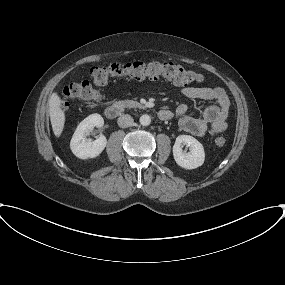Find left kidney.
I'll return each instance as SVG.
<instances>
[{
	"label": "left kidney",
	"instance_id": "left-kidney-1",
	"mask_svg": "<svg viewBox=\"0 0 285 285\" xmlns=\"http://www.w3.org/2000/svg\"><path fill=\"white\" fill-rule=\"evenodd\" d=\"M183 145L188 146L190 152H184L182 150ZM173 156L180 167L189 170L202 166L205 160L203 145L190 135H179L176 138L173 146Z\"/></svg>",
	"mask_w": 285,
	"mask_h": 285
}]
</instances>
